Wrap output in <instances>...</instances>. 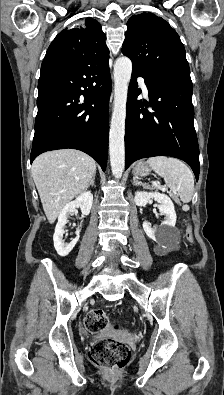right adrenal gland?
I'll return each mask as SVG.
<instances>
[{"label":"right adrenal gland","instance_id":"obj_1","mask_svg":"<svg viewBox=\"0 0 224 395\" xmlns=\"http://www.w3.org/2000/svg\"><path fill=\"white\" fill-rule=\"evenodd\" d=\"M95 177L90 181L89 185L94 186Z\"/></svg>","mask_w":224,"mask_h":395}]
</instances>
